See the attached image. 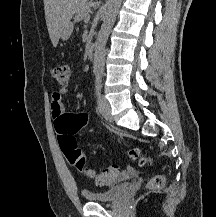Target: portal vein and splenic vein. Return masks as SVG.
Listing matches in <instances>:
<instances>
[{
	"label": "portal vein and splenic vein",
	"mask_w": 216,
	"mask_h": 217,
	"mask_svg": "<svg viewBox=\"0 0 216 217\" xmlns=\"http://www.w3.org/2000/svg\"><path fill=\"white\" fill-rule=\"evenodd\" d=\"M89 16H90L89 13H86V17H85V18H86V21L89 20Z\"/></svg>",
	"instance_id": "18ae733b"
}]
</instances>
